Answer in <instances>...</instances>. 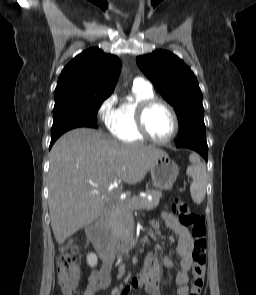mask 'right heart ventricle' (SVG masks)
<instances>
[{"mask_svg": "<svg viewBox=\"0 0 256 295\" xmlns=\"http://www.w3.org/2000/svg\"><path fill=\"white\" fill-rule=\"evenodd\" d=\"M134 101L123 102L111 117L108 127L114 137L125 143H141L146 138L136 124V109L140 102L155 97L152 89L133 86Z\"/></svg>", "mask_w": 256, "mask_h": 295, "instance_id": "obj_1", "label": "right heart ventricle"}]
</instances>
